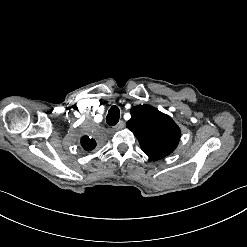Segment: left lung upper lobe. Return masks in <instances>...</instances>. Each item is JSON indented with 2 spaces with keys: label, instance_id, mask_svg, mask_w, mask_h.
Masks as SVG:
<instances>
[{
  "label": "left lung upper lobe",
  "instance_id": "obj_1",
  "mask_svg": "<svg viewBox=\"0 0 247 247\" xmlns=\"http://www.w3.org/2000/svg\"><path fill=\"white\" fill-rule=\"evenodd\" d=\"M129 128L137 137L143 152L151 159H161L177 147L181 131L168 115L150 105L131 109Z\"/></svg>",
  "mask_w": 247,
  "mask_h": 247
}]
</instances>
